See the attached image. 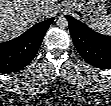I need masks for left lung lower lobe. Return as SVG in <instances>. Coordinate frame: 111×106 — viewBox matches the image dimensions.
<instances>
[{
    "label": "left lung lower lobe",
    "mask_w": 111,
    "mask_h": 106,
    "mask_svg": "<svg viewBox=\"0 0 111 106\" xmlns=\"http://www.w3.org/2000/svg\"><path fill=\"white\" fill-rule=\"evenodd\" d=\"M66 18L72 40L83 59L97 68L110 69L111 37L94 32L69 15H66Z\"/></svg>",
    "instance_id": "0a47b994"
}]
</instances>
